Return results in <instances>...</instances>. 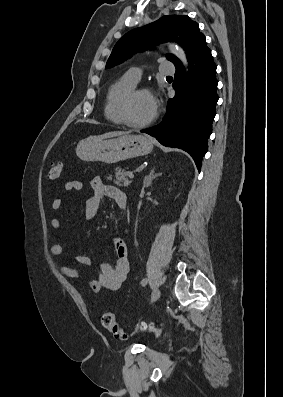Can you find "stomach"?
I'll list each match as a JSON object with an SVG mask.
<instances>
[{"mask_svg": "<svg viewBox=\"0 0 283 397\" xmlns=\"http://www.w3.org/2000/svg\"><path fill=\"white\" fill-rule=\"evenodd\" d=\"M153 142L146 135H123L118 138L99 140L87 138L79 142L77 156L83 161H101L112 164L149 154Z\"/></svg>", "mask_w": 283, "mask_h": 397, "instance_id": "stomach-1", "label": "stomach"}]
</instances>
